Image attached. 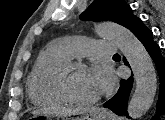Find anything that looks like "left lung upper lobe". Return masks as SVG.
<instances>
[{
    "instance_id": "1",
    "label": "left lung upper lobe",
    "mask_w": 165,
    "mask_h": 120,
    "mask_svg": "<svg viewBox=\"0 0 165 120\" xmlns=\"http://www.w3.org/2000/svg\"><path fill=\"white\" fill-rule=\"evenodd\" d=\"M138 17L124 0H95L81 15V20H110L131 30Z\"/></svg>"
}]
</instances>
